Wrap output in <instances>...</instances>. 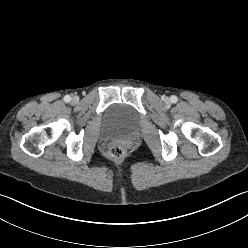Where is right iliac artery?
I'll use <instances>...</instances> for the list:
<instances>
[{"label":"right iliac artery","mask_w":248,"mask_h":248,"mask_svg":"<svg viewBox=\"0 0 248 248\" xmlns=\"http://www.w3.org/2000/svg\"><path fill=\"white\" fill-rule=\"evenodd\" d=\"M64 101H65V102H70V101H71V97H70L69 95H66V96L64 97Z\"/></svg>","instance_id":"1"}]
</instances>
